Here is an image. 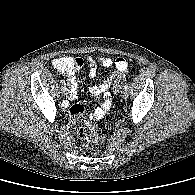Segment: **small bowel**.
<instances>
[{
  "label": "small bowel",
  "instance_id": "c3829d8e",
  "mask_svg": "<svg viewBox=\"0 0 195 195\" xmlns=\"http://www.w3.org/2000/svg\"><path fill=\"white\" fill-rule=\"evenodd\" d=\"M70 61V67L67 70H59L65 75L68 76V84L70 86V92L67 95L68 100H73L76 97L77 90V80L76 73L81 70L84 65V60L82 58H72L67 57ZM89 65V74L91 78H94L96 75V60L88 57L87 58ZM97 61L105 68L115 67V71L112 75L106 79L104 82L100 84H95L89 87L90 94L97 99L100 95H103L102 104L97 107L91 114V120H99L101 119L110 109L111 106V94L108 92L112 82L115 80L118 74L123 73L125 69L128 67L125 59L118 57L113 60L110 57H98ZM84 112V108L80 104H75L70 108V119L74 121L77 117L81 116Z\"/></svg>",
  "mask_w": 195,
  "mask_h": 195
}]
</instances>
